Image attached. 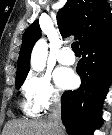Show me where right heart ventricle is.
Listing matches in <instances>:
<instances>
[{
    "label": "right heart ventricle",
    "instance_id": "1",
    "mask_svg": "<svg viewBox=\"0 0 112 135\" xmlns=\"http://www.w3.org/2000/svg\"><path fill=\"white\" fill-rule=\"evenodd\" d=\"M23 109H24V111H25L27 114L35 115V112H33V111L27 106L26 103L23 104Z\"/></svg>",
    "mask_w": 112,
    "mask_h": 135
}]
</instances>
